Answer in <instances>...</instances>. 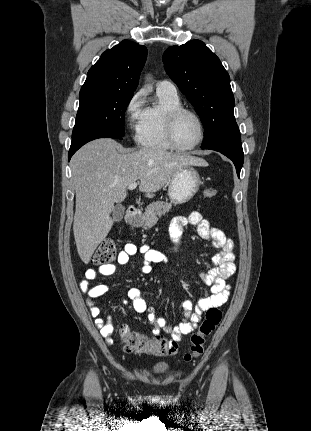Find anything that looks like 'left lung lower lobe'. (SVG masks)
Returning <instances> with one entry per match:
<instances>
[{
    "label": "left lung lower lobe",
    "instance_id": "1",
    "mask_svg": "<svg viewBox=\"0 0 311 431\" xmlns=\"http://www.w3.org/2000/svg\"><path fill=\"white\" fill-rule=\"evenodd\" d=\"M206 149L218 151L230 160L233 161L238 177L244 161V154L242 149L241 140H230L217 145L210 146Z\"/></svg>",
    "mask_w": 311,
    "mask_h": 431
}]
</instances>
